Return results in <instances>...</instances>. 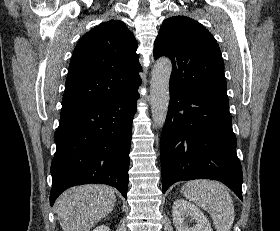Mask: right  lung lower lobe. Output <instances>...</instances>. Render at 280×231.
I'll use <instances>...</instances> for the list:
<instances>
[{
  "label": "right lung lower lobe",
  "instance_id": "obj_1",
  "mask_svg": "<svg viewBox=\"0 0 280 231\" xmlns=\"http://www.w3.org/2000/svg\"><path fill=\"white\" fill-rule=\"evenodd\" d=\"M137 90L63 112L54 140L51 206L67 188L89 183L116 187L127 199L132 121Z\"/></svg>",
  "mask_w": 280,
  "mask_h": 231
}]
</instances>
